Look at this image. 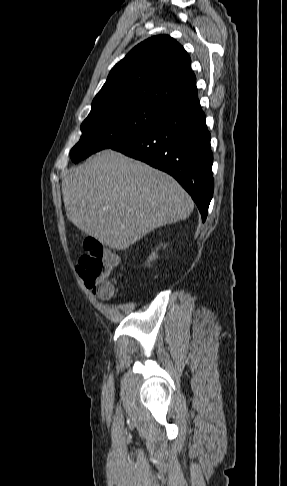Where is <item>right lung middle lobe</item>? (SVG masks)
<instances>
[{
  "instance_id": "1",
  "label": "right lung middle lobe",
  "mask_w": 287,
  "mask_h": 486,
  "mask_svg": "<svg viewBox=\"0 0 287 486\" xmlns=\"http://www.w3.org/2000/svg\"><path fill=\"white\" fill-rule=\"evenodd\" d=\"M169 110L148 102H125L93 107L81 125L82 136L70 152L74 163L141 134Z\"/></svg>"
}]
</instances>
